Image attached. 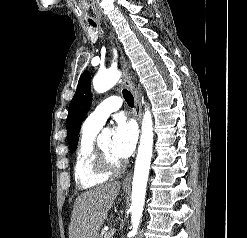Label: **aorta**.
Masks as SVG:
<instances>
[{"label": "aorta", "mask_w": 247, "mask_h": 238, "mask_svg": "<svg viewBox=\"0 0 247 238\" xmlns=\"http://www.w3.org/2000/svg\"><path fill=\"white\" fill-rule=\"evenodd\" d=\"M120 76L121 74L117 70H108L104 73H98L93 79V87L96 92L104 93L119 81ZM110 136L111 132L109 129H105L101 133V137L109 138ZM152 151L153 121L150 110L145 108V113L142 120L140 144L138 147L132 182V201L130 210L133 236L137 234L142 218Z\"/></svg>", "instance_id": "762f6f07"}]
</instances>
